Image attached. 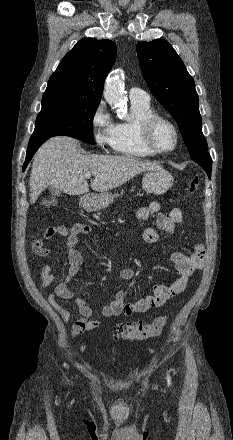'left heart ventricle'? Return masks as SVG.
I'll return each mask as SVG.
<instances>
[{"label": "left heart ventricle", "mask_w": 233, "mask_h": 440, "mask_svg": "<svg viewBox=\"0 0 233 440\" xmlns=\"http://www.w3.org/2000/svg\"><path fill=\"white\" fill-rule=\"evenodd\" d=\"M174 133L169 125L160 122L153 131V142L161 149H170L174 145Z\"/></svg>", "instance_id": "left-heart-ventricle-1"}]
</instances>
